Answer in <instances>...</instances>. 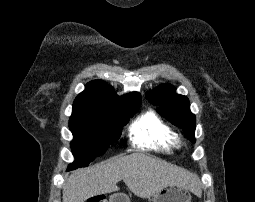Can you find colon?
Segmentation results:
<instances>
[{"label": "colon", "instance_id": "1", "mask_svg": "<svg viewBox=\"0 0 255 202\" xmlns=\"http://www.w3.org/2000/svg\"><path fill=\"white\" fill-rule=\"evenodd\" d=\"M88 202H104L102 198H92Z\"/></svg>", "mask_w": 255, "mask_h": 202}]
</instances>
